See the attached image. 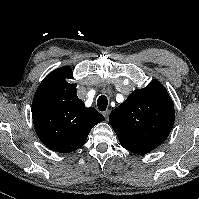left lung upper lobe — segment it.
Here are the masks:
<instances>
[{
	"instance_id": "1",
	"label": "left lung upper lobe",
	"mask_w": 199,
	"mask_h": 199,
	"mask_svg": "<svg viewBox=\"0 0 199 199\" xmlns=\"http://www.w3.org/2000/svg\"><path fill=\"white\" fill-rule=\"evenodd\" d=\"M174 121L172 99L166 88L155 79L145 88L134 90L109 116L115 132L158 145L165 141Z\"/></svg>"
}]
</instances>
